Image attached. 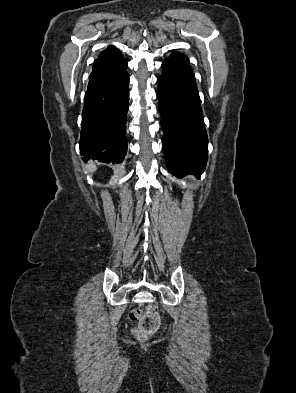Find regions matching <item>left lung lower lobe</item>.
Here are the masks:
<instances>
[{"mask_svg": "<svg viewBox=\"0 0 296 393\" xmlns=\"http://www.w3.org/2000/svg\"><path fill=\"white\" fill-rule=\"evenodd\" d=\"M158 78L163 148L169 172L200 176L208 159V138L189 59L174 52Z\"/></svg>", "mask_w": 296, "mask_h": 393, "instance_id": "left-lung-lower-lobe-1", "label": "left lung lower lobe"}]
</instances>
